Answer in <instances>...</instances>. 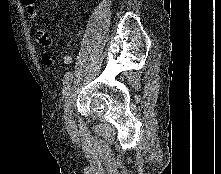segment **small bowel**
<instances>
[{
	"label": "small bowel",
	"mask_w": 221,
	"mask_h": 174,
	"mask_svg": "<svg viewBox=\"0 0 221 174\" xmlns=\"http://www.w3.org/2000/svg\"><path fill=\"white\" fill-rule=\"evenodd\" d=\"M26 15L35 23L38 29V38L41 45L46 48L42 53V60L45 64L51 65L55 62L56 57L48 49L51 47L52 38L49 34L45 33L42 30L43 23L39 20L37 9H36V0H22ZM62 61L65 64L72 63V57L69 54H64L62 56Z\"/></svg>",
	"instance_id": "obj_1"
}]
</instances>
